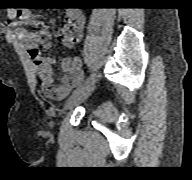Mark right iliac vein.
<instances>
[{"instance_id": "1", "label": "right iliac vein", "mask_w": 192, "mask_h": 180, "mask_svg": "<svg viewBox=\"0 0 192 180\" xmlns=\"http://www.w3.org/2000/svg\"><path fill=\"white\" fill-rule=\"evenodd\" d=\"M93 83L87 85L86 87L76 92L71 97H69L64 104V110L72 109L78 104L82 103L84 100H86L93 92L94 89Z\"/></svg>"}]
</instances>
